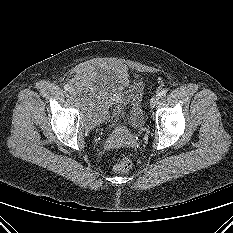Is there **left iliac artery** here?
Masks as SVG:
<instances>
[{
  "label": "left iliac artery",
  "mask_w": 233,
  "mask_h": 233,
  "mask_svg": "<svg viewBox=\"0 0 233 233\" xmlns=\"http://www.w3.org/2000/svg\"><path fill=\"white\" fill-rule=\"evenodd\" d=\"M166 94H167V90H165V89L161 90V91L158 93V95H159L160 97H163V96H165Z\"/></svg>",
  "instance_id": "1"
}]
</instances>
